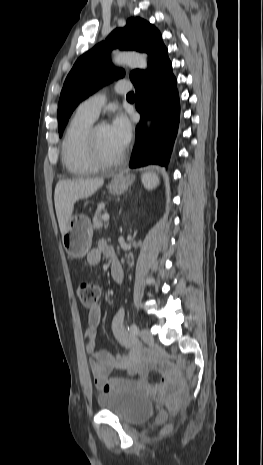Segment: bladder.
<instances>
[{
    "instance_id": "obj_1",
    "label": "bladder",
    "mask_w": 263,
    "mask_h": 465,
    "mask_svg": "<svg viewBox=\"0 0 263 465\" xmlns=\"http://www.w3.org/2000/svg\"><path fill=\"white\" fill-rule=\"evenodd\" d=\"M97 402L101 409L112 413L121 422L127 424L144 422L154 412V405L148 397L123 388L100 393Z\"/></svg>"
}]
</instances>
